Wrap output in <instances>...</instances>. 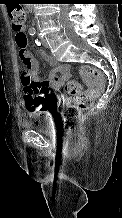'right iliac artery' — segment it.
Masks as SVG:
<instances>
[{"label": "right iliac artery", "mask_w": 122, "mask_h": 218, "mask_svg": "<svg viewBox=\"0 0 122 218\" xmlns=\"http://www.w3.org/2000/svg\"><path fill=\"white\" fill-rule=\"evenodd\" d=\"M29 34H30L31 36H34V35L36 34V30H35L34 28L30 29V30H29Z\"/></svg>", "instance_id": "82829eb1"}]
</instances>
